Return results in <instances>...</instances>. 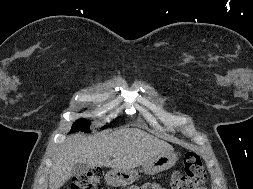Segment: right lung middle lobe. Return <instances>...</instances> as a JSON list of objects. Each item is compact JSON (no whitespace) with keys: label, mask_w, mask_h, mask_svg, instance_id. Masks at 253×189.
<instances>
[{"label":"right lung middle lobe","mask_w":253,"mask_h":189,"mask_svg":"<svg viewBox=\"0 0 253 189\" xmlns=\"http://www.w3.org/2000/svg\"><path fill=\"white\" fill-rule=\"evenodd\" d=\"M105 126L104 128H106ZM77 131H84V132H90L89 130V122L85 119H79L77 120L71 129V132H77Z\"/></svg>","instance_id":"1"}]
</instances>
